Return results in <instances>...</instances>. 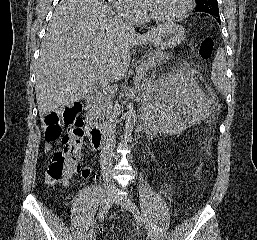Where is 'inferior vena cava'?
I'll use <instances>...</instances> for the list:
<instances>
[{
    "label": "inferior vena cava",
    "instance_id": "1",
    "mask_svg": "<svg viewBox=\"0 0 257 240\" xmlns=\"http://www.w3.org/2000/svg\"><path fill=\"white\" fill-rule=\"evenodd\" d=\"M124 28L126 30H134V25L132 23L129 22H124ZM110 94H113L114 90L112 88H110L109 90ZM106 125H105V132L107 133V135H109V145L112 146L115 142V137H114V132H113V128H114V123H115V106H113V102H109L108 107H107V111H106ZM108 155L107 157H104L103 162H102V168L104 170H108L112 167V162H111V155L109 154V152H107Z\"/></svg>",
    "mask_w": 257,
    "mask_h": 240
}]
</instances>
